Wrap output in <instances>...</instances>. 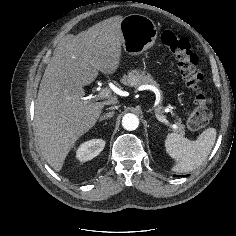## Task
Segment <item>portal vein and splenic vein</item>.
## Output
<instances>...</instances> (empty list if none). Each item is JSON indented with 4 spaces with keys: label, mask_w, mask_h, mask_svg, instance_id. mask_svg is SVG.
<instances>
[{
    "label": "portal vein and splenic vein",
    "mask_w": 236,
    "mask_h": 236,
    "mask_svg": "<svg viewBox=\"0 0 236 236\" xmlns=\"http://www.w3.org/2000/svg\"><path fill=\"white\" fill-rule=\"evenodd\" d=\"M111 96V92L110 89L108 88H103L97 95V98L99 99H105V98H109ZM156 118L160 121L165 123L166 125L171 126V123L168 119H166L165 116L159 115L158 113H155ZM174 128H176V125H173Z\"/></svg>",
    "instance_id": "1"
}]
</instances>
